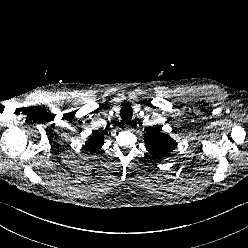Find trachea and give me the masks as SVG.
<instances>
[{
	"mask_svg": "<svg viewBox=\"0 0 248 248\" xmlns=\"http://www.w3.org/2000/svg\"><path fill=\"white\" fill-rule=\"evenodd\" d=\"M121 119L124 122H129L132 119L133 109L130 104H124L120 110Z\"/></svg>",
	"mask_w": 248,
	"mask_h": 248,
	"instance_id": "trachea-1",
	"label": "trachea"
}]
</instances>
